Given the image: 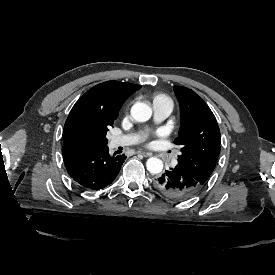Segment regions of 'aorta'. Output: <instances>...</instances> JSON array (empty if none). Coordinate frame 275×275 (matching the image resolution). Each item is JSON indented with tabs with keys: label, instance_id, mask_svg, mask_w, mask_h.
<instances>
[{
	"label": "aorta",
	"instance_id": "1",
	"mask_svg": "<svg viewBox=\"0 0 275 275\" xmlns=\"http://www.w3.org/2000/svg\"><path fill=\"white\" fill-rule=\"evenodd\" d=\"M130 113L137 122H145L151 118L152 109L143 102H136L131 107ZM146 167L151 174H158L163 170V162L156 157H151L147 160Z\"/></svg>",
	"mask_w": 275,
	"mask_h": 275
}]
</instances>
